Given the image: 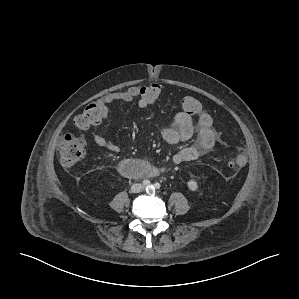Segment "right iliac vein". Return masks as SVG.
Segmentation results:
<instances>
[{
    "mask_svg": "<svg viewBox=\"0 0 299 299\" xmlns=\"http://www.w3.org/2000/svg\"><path fill=\"white\" fill-rule=\"evenodd\" d=\"M142 189H143V187H142L141 184H135V185L132 187V191H133V192H140Z\"/></svg>",
    "mask_w": 299,
    "mask_h": 299,
    "instance_id": "right-iliac-vein-1",
    "label": "right iliac vein"
}]
</instances>
